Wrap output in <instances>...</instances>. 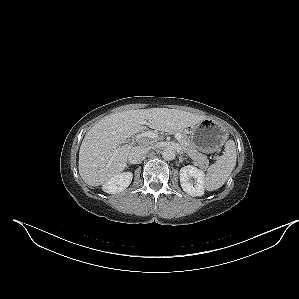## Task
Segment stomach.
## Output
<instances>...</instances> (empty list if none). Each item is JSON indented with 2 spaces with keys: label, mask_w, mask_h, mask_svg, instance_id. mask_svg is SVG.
Masks as SVG:
<instances>
[{
  "label": "stomach",
  "mask_w": 299,
  "mask_h": 299,
  "mask_svg": "<svg viewBox=\"0 0 299 299\" xmlns=\"http://www.w3.org/2000/svg\"><path fill=\"white\" fill-rule=\"evenodd\" d=\"M188 138L192 145L204 153L216 151L224 142L226 135L223 128L210 119L191 126Z\"/></svg>",
  "instance_id": "1"
}]
</instances>
